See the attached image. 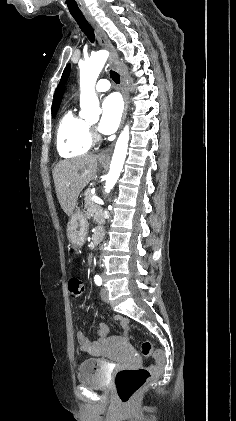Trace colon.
<instances>
[{
    "label": "colon",
    "mask_w": 236,
    "mask_h": 421,
    "mask_svg": "<svg viewBox=\"0 0 236 421\" xmlns=\"http://www.w3.org/2000/svg\"><path fill=\"white\" fill-rule=\"evenodd\" d=\"M68 289L74 298H78L84 291L83 282L78 277L72 276L68 282ZM141 352L144 356L153 355L155 363L145 367L122 368L115 374V388L120 400L124 403L129 402L149 378L159 375L163 370L165 357L160 350L153 351V345L150 342H144Z\"/></svg>",
    "instance_id": "colon-1"
}]
</instances>
